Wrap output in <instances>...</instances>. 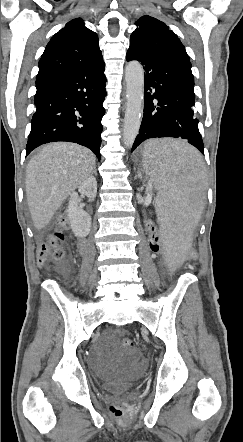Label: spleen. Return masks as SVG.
<instances>
[{
	"label": "spleen",
	"mask_w": 243,
	"mask_h": 442,
	"mask_svg": "<svg viewBox=\"0 0 243 442\" xmlns=\"http://www.w3.org/2000/svg\"><path fill=\"white\" fill-rule=\"evenodd\" d=\"M140 168L141 178L156 184V210L166 237L161 252L172 253L165 258L166 267L170 274H177L178 258L191 251L185 237H192V227L203 214L204 193H187L205 191L202 157L185 141L149 140L141 153Z\"/></svg>",
	"instance_id": "1"
}]
</instances>
